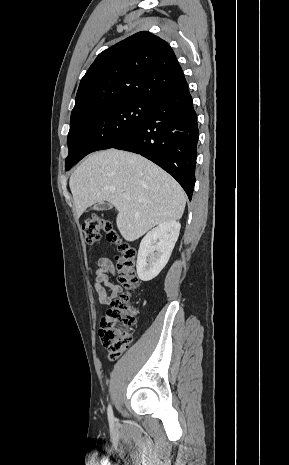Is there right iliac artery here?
<instances>
[{"label":"right iliac artery","mask_w":289,"mask_h":465,"mask_svg":"<svg viewBox=\"0 0 289 465\" xmlns=\"http://www.w3.org/2000/svg\"><path fill=\"white\" fill-rule=\"evenodd\" d=\"M108 419L110 424L112 425L114 423V416L111 405L108 406Z\"/></svg>","instance_id":"82829eb1"}]
</instances>
